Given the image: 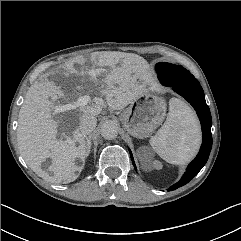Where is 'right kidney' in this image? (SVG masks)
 I'll return each mask as SVG.
<instances>
[{
	"instance_id": "ca27d5eb",
	"label": "right kidney",
	"mask_w": 241,
	"mask_h": 241,
	"mask_svg": "<svg viewBox=\"0 0 241 241\" xmlns=\"http://www.w3.org/2000/svg\"><path fill=\"white\" fill-rule=\"evenodd\" d=\"M34 170H35L36 172H38V171H39V170H38V167H35V168H34Z\"/></svg>"
}]
</instances>
